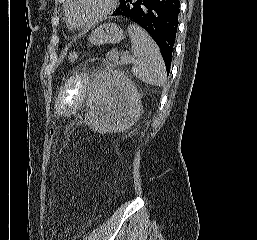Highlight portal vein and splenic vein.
Returning <instances> with one entry per match:
<instances>
[{
  "mask_svg": "<svg viewBox=\"0 0 257 240\" xmlns=\"http://www.w3.org/2000/svg\"><path fill=\"white\" fill-rule=\"evenodd\" d=\"M120 61H121L122 64H128V63L134 62L135 58L131 57V56L127 55V54H123L121 56V60Z\"/></svg>",
  "mask_w": 257,
  "mask_h": 240,
  "instance_id": "18ae733b",
  "label": "portal vein and splenic vein"
}]
</instances>
